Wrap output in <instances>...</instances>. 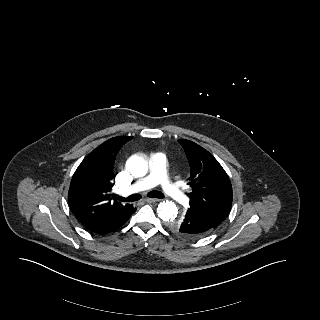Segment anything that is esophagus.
Wrapping results in <instances>:
<instances>
[{"label":"esophagus","instance_id":"obj_1","mask_svg":"<svg viewBox=\"0 0 320 320\" xmlns=\"http://www.w3.org/2000/svg\"><path fill=\"white\" fill-rule=\"evenodd\" d=\"M159 199H156V198H146L145 201L148 202V203H154V202H157Z\"/></svg>","mask_w":320,"mask_h":320}]
</instances>
